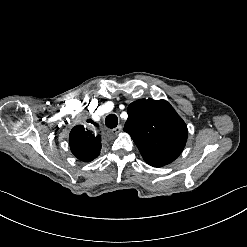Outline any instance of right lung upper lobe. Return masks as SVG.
<instances>
[{"label": "right lung upper lobe", "instance_id": "1", "mask_svg": "<svg viewBox=\"0 0 247 247\" xmlns=\"http://www.w3.org/2000/svg\"><path fill=\"white\" fill-rule=\"evenodd\" d=\"M94 123L92 120H88ZM72 153L80 160L89 162L100 154L101 138L90 130H85L82 125L75 126L69 136Z\"/></svg>", "mask_w": 247, "mask_h": 247}]
</instances>
